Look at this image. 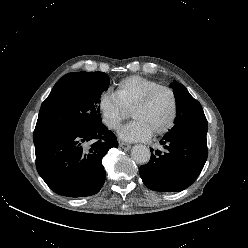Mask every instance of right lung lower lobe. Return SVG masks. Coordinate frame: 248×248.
<instances>
[{
    "label": "right lung lower lobe",
    "mask_w": 248,
    "mask_h": 248,
    "mask_svg": "<svg viewBox=\"0 0 248 248\" xmlns=\"http://www.w3.org/2000/svg\"><path fill=\"white\" fill-rule=\"evenodd\" d=\"M33 141L39 175L55 193L66 197L91 196L103 186L102 158L118 147L106 126L59 128L36 125Z\"/></svg>",
    "instance_id": "right-lung-lower-lobe-1"
}]
</instances>
